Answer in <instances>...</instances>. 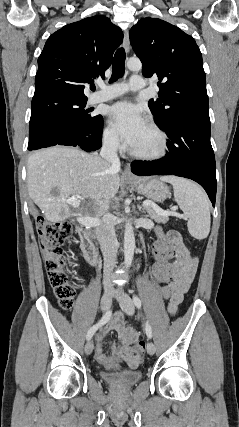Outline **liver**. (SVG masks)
<instances>
[{
  "label": "liver",
  "instance_id": "6515ba94",
  "mask_svg": "<svg viewBox=\"0 0 239 427\" xmlns=\"http://www.w3.org/2000/svg\"><path fill=\"white\" fill-rule=\"evenodd\" d=\"M118 172L98 155L77 148L54 146L41 149L31 154L27 162L29 197L50 222L83 214L80 200L72 204L71 210L67 202L70 196L92 199L94 212L86 214L99 218L108 211L110 201L119 190Z\"/></svg>",
  "mask_w": 239,
  "mask_h": 427
}]
</instances>
